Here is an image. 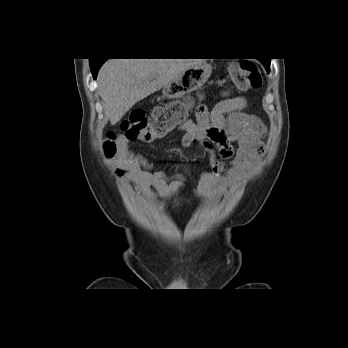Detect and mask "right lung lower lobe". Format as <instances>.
<instances>
[{
    "instance_id": "obj_1",
    "label": "right lung lower lobe",
    "mask_w": 348,
    "mask_h": 348,
    "mask_svg": "<svg viewBox=\"0 0 348 348\" xmlns=\"http://www.w3.org/2000/svg\"><path fill=\"white\" fill-rule=\"evenodd\" d=\"M104 61H105V60H101V62L95 61V62H93V63L90 64V66H91V71H92V74H93V77H94V78H96L98 69L100 68V66L102 65V63H103Z\"/></svg>"
}]
</instances>
